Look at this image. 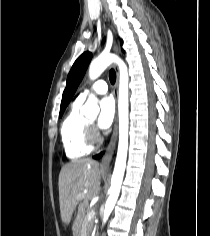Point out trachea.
Masks as SVG:
<instances>
[{
    "instance_id": "obj_1",
    "label": "trachea",
    "mask_w": 210,
    "mask_h": 236,
    "mask_svg": "<svg viewBox=\"0 0 210 236\" xmlns=\"http://www.w3.org/2000/svg\"><path fill=\"white\" fill-rule=\"evenodd\" d=\"M109 79H110L111 84H114L116 81V73L113 69H111L109 72Z\"/></svg>"
}]
</instances>
